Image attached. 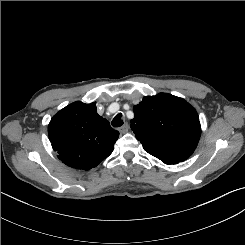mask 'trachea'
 I'll return each instance as SVG.
<instances>
[{
    "mask_svg": "<svg viewBox=\"0 0 245 245\" xmlns=\"http://www.w3.org/2000/svg\"><path fill=\"white\" fill-rule=\"evenodd\" d=\"M122 113L117 114L112 120L113 127H120L123 125Z\"/></svg>",
    "mask_w": 245,
    "mask_h": 245,
    "instance_id": "3493384b",
    "label": "trachea"
}]
</instances>
